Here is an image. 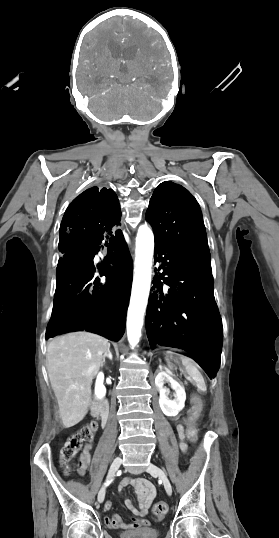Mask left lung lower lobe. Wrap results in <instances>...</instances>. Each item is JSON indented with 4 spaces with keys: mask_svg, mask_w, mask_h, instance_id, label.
<instances>
[{
    "mask_svg": "<svg viewBox=\"0 0 279 538\" xmlns=\"http://www.w3.org/2000/svg\"><path fill=\"white\" fill-rule=\"evenodd\" d=\"M154 258L161 262V272L153 279L156 290L147 307L150 347L183 349L199 359L202 369L213 378L220 367L223 333L214 299L210 253L185 252L156 243Z\"/></svg>",
    "mask_w": 279,
    "mask_h": 538,
    "instance_id": "obj_1",
    "label": "left lung lower lobe"
}]
</instances>
